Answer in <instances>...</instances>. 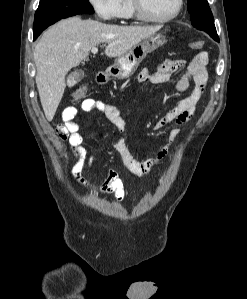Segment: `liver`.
I'll return each mask as SVG.
<instances>
[{
	"label": "liver",
	"instance_id": "obj_1",
	"mask_svg": "<svg viewBox=\"0 0 247 299\" xmlns=\"http://www.w3.org/2000/svg\"><path fill=\"white\" fill-rule=\"evenodd\" d=\"M158 26H119L80 17L63 19L47 29L35 46L36 84L48 121L56 113L66 87V74L107 43L105 55L120 57L161 29Z\"/></svg>",
	"mask_w": 247,
	"mask_h": 299
}]
</instances>
